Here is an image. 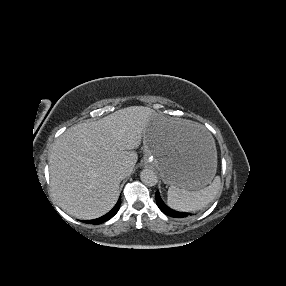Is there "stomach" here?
Here are the masks:
<instances>
[{"instance_id": "1", "label": "stomach", "mask_w": 286, "mask_h": 286, "mask_svg": "<svg viewBox=\"0 0 286 286\" xmlns=\"http://www.w3.org/2000/svg\"><path fill=\"white\" fill-rule=\"evenodd\" d=\"M140 138L145 160L155 165L165 184L193 191L214 178L217 151L201 122L156 115L144 122Z\"/></svg>"}]
</instances>
